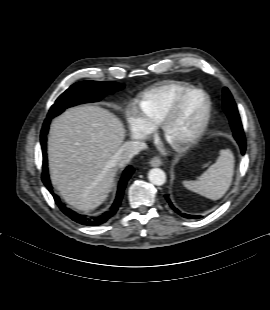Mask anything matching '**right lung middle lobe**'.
<instances>
[{
    "label": "right lung middle lobe",
    "instance_id": "1",
    "mask_svg": "<svg viewBox=\"0 0 270 310\" xmlns=\"http://www.w3.org/2000/svg\"><path fill=\"white\" fill-rule=\"evenodd\" d=\"M123 88L124 84L112 81H82L75 83L58 97L55 104L50 108L47 118H53L66 108L77 104L99 101L104 96Z\"/></svg>",
    "mask_w": 270,
    "mask_h": 310
}]
</instances>
